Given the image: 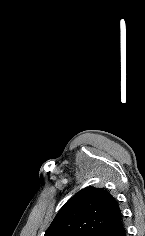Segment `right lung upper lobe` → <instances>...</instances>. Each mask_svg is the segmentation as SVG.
I'll list each match as a JSON object with an SVG mask.
<instances>
[{"mask_svg":"<svg viewBox=\"0 0 145 236\" xmlns=\"http://www.w3.org/2000/svg\"><path fill=\"white\" fill-rule=\"evenodd\" d=\"M121 219L120 208L107 190L86 187L60 209L45 236H98Z\"/></svg>","mask_w":145,"mask_h":236,"instance_id":"1","label":"right lung upper lobe"}]
</instances>
